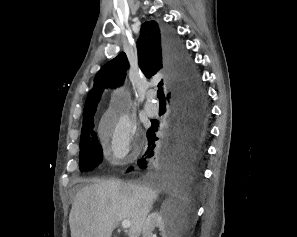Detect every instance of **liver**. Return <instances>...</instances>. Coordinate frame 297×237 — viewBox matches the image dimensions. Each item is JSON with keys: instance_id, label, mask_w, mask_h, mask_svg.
Wrapping results in <instances>:
<instances>
[{"instance_id": "1", "label": "liver", "mask_w": 297, "mask_h": 237, "mask_svg": "<svg viewBox=\"0 0 297 237\" xmlns=\"http://www.w3.org/2000/svg\"><path fill=\"white\" fill-rule=\"evenodd\" d=\"M159 190L150 185L99 181L75 196L69 215L71 237H111L116 225L129 220V237H139Z\"/></svg>"}]
</instances>
